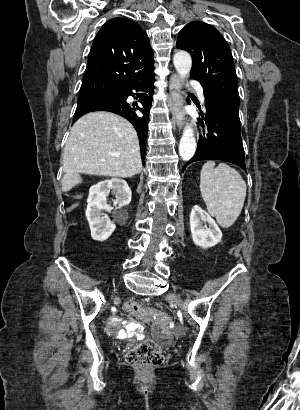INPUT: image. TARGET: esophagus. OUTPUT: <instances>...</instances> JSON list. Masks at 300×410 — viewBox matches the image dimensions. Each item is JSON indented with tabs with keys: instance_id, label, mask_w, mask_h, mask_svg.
<instances>
[{
	"instance_id": "1",
	"label": "esophagus",
	"mask_w": 300,
	"mask_h": 410,
	"mask_svg": "<svg viewBox=\"0 0 300 410\" xmlns=\"http://www.w3.org/2000/svg\"><path fill=\"white\" fill-rule=\"evenodd\" d=\"M180 79L174 74L170 78L169 90H170V99L169 105L173 116V121L178 128H182L184 124V116L182 112V98L180 95Z\"/></svg>"
}]
</instances>
